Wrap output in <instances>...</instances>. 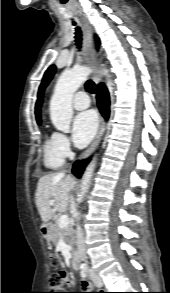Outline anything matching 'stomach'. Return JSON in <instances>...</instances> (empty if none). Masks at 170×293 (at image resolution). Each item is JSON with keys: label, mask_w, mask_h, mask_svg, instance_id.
I'll use <instances>...</instances> for the list:
<instances>
[{"label": "stomach", "mask_w": 170, "mask_h": 293, "mask_svg": "<svg viewBox=\"0 0 170 293\" xmlns=\"http://www.w3.org/2000/svg\"><path fill=\"white\" fill-rule=\"evenodd\" d=\"M45 237H46L47 239H51V230H50V228H48V229L46 230Z\"/></svg>", "instance_id": "obj_1"}]
</instances>
